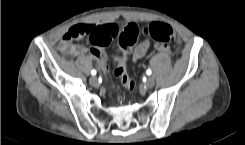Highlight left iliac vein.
Segmentation results:
<instances>
[{
	"label": "left iliac vein",
	"mask_w": 245,
	"mask_h": 145,
	"mask_svg": "<svg viewBox=\"0 0 245 145\" xmlns=\"http://www.w3.org/2000/svg\"><path fill=\"white\" fill-rule=\"evenodd\" d=\"M154 84H155V81H154V79H153L152 77H149V78L146 80V82H145V86H146L147 88L153 87Z\"/></svg>",
	"instance_id": "1"
}]
</instances>
